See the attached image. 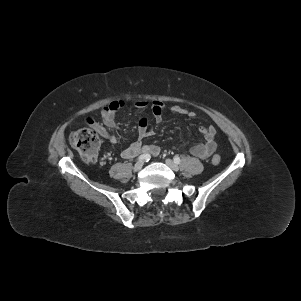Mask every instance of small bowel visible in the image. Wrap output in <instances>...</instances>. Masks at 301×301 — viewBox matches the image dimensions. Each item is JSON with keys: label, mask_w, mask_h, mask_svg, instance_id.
<instances>
[{"label": "small bowel", "mask_w": 301, "mask_h": 301, "mask_svg": "<svg viewBox=\"0 0 301 301\" xmlns=\"http://www.w3.org/2000/svg\"><path fill=\"white\" fill-rule=\"evenodd\" d=\"M124 107L123 101H112L109 105L104 107L101 111V122L95 121L92 118L87 119L88 125L93 128L101 137L107 139L112 144L117 143L115 135L110 133V129H114L117 126L116 114ZM137 109L150 108L153 115L155 124H159L162 121V114L164 104L159 101H138L135 103ZM171 112L174 114L185 115L190 118L195 117V112L185 109L181 106L175 105L171 107ZM200 134L204 137V143L197 144L191 148V154L200 158H208L216 150V129L214 126H202L199 128ZM154 135V132L149 128L148 120L141 118L138 123V138L135 142L122 150L121 156L125 159L134 157L141 152L150 153L153 156H157L160 153V148L157 145H145L144 140Z\"/></svg>", "instance_id": "small-bowel-1"}]
</instances>
